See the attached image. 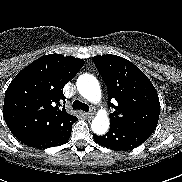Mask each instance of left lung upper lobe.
<instances>
[{"instance_id":"1","label":"left lung upper lobe","mask_w":182,"mask_h":182,"mask_svg":"<svg viewBox=\"0 0 182 182\" xmlns=\"http://www.w3.org/2000/svg\"><path fill=\"white\" fill-rule=\"evenodd\" d=\"M92 59L106 83L109 106L115 109L110 114V123L153 132L158 124L160 102L148 77L132 62L116 55Z\"/></svg>"}]
</instances>
